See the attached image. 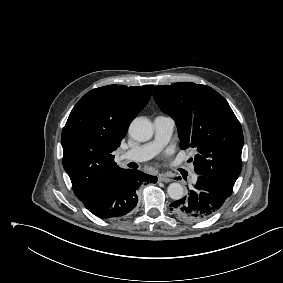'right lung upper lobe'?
<instances>
[{
  "mask_svg": "<svg viewBox=\"0 0 283 283\" xmlns=\"http://www.w3.org/2000/svg\"><path fill=\"white\" fill-rule=\"evenodd\" d=\"M152 89L153 85H108L89 91L72 109L62 131L63 167L80 201L95 196L127 170L114 162L113 151Z\"/></svg>",
  "mask_w": 283,
  "mask_h": 283,
  "instance_id": "right-lung-upper-lobe-1",
  "label": "right lung upper lobe"
}]
</instances>
